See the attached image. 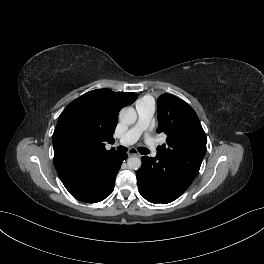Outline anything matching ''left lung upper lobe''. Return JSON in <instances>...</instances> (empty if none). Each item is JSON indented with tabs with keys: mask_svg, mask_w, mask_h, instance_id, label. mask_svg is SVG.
Listing matches in <instances>:
<instances>
[{
	"mask_svg": "<svg viewBox=\"0 0 264 264\" xmlns=\"http://www.w3.org/2000/svg\"><path fill=\"white\" fill-rule=\"evenodd\" d=\"M158 120L157 132H164L167 139L157 153L182 156L186 166L201 164L206 153V135L195 111L183 100L165 93L158 98Z\"/></svg>",
	"mask_w": 264,
	"mask_h": 264,
	"instance_id": "obj_1",
	"label": "left lung upper lobe"
}]
</instances>
